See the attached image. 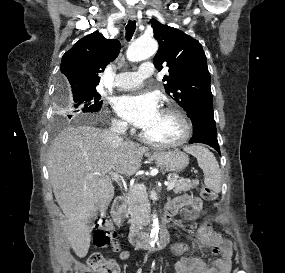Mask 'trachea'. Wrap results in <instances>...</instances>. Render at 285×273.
<instances>
[{"instance_id": "3493384b", "label": "trachea", "mask_w": 285, "mask_h": 273, "mask_svg": "<svg viewBox=\"0 0 285 273\" xmlns=\"http://www.w3.org/2000/svg\"><path fill=\"white\" fill-rule=\"evenodd\" d=\"M136 29V21L135 20H129L126 25V38L127 40H130L135 32Z\"/></svg>"}]
</instances>
